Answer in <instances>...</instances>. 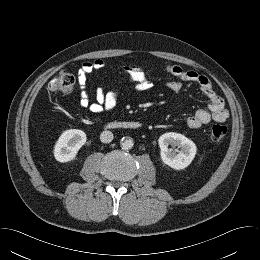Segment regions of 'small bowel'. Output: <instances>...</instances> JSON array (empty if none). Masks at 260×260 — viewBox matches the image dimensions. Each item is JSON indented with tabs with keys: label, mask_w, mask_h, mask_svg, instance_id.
Returning <instances> with one entry per match:
<instances>
[{
	"label": "small bowel",
	"mask_w": 260,
	"mask_h": 260,
	"mask_svg": "<svg viewBox=\"0 0 260 260\" xmlns=\"http://www.w3.org/2000/svg\"><path fill=\"white\" fill-rule=\"evenodd\" d=\"M105 63L102 60L84 62L77 71V82L80 90V106L88 109L92 114L99 115L104 112L112 111L119 98L118 91L106 92L98 88L95 94V101L91 102L87 92L88 75L95 71H102ZM165 70L175 79L168 81L166 87L172 92L182 90L185 83H196L201 91L209 99L207 109H199L192 116L188 117L187 125L191 129H196L211 120L224 122L228 119L229 113L225 108L224 100L214 91L210 80L202 74L192 70H186L176 64H168ZM123 71L133 84L136 92L144 93L151 89L152 85L147 78L145 69L139 65H128L123 67Z\"/></svg>",
	"instance_id": "small-bowel-1"
}]
</instances>
